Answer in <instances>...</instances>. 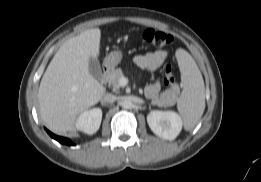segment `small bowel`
I'll return each instance as SVG.
<instances>
[{
	"label": "small bowel",
	"mask_w": 261,
	"mask_h": 182,
	"mask_svg": "<svg viewBox=\"0 0 261 182\" xmlns=\"http://www.w3.org/2000/svg\"><path fill=\"white\" fill-rule=\"evenodd\" d=\"M168 58L166 50H157L137 55L134 58L135 64L143 70H155L160 67ZM160 91V84L154 81L145 87V95L149 99L157 97Z\"/></svg>",
	"instance_id": "small-bowel-1"
}]
</instances>
